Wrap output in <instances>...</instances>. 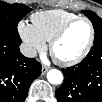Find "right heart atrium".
Returning a JSON list of instances; mask_svg holds the SVG:
<instances>
[{"label":"right heart atrium","instance_id":"obj_1","mask_svg":"<svg viewBox=\"0 0 102 102\" xmlns=\"http://www.w3.org/2000/svg\"><path fill=\"white\" fill-rule=\"evenodd\" d=\"M18 31L26 45V52L29 56L46 50V41L37 33L32 24L21 21L18 25Z\"/></svg>","mask_w":102,"mask_h":102}]
</instances>
